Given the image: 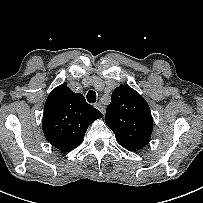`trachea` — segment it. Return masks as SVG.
<instances>
[{"label":"trachea","instance_id":"trachea-1","mask_svg":"<svg viewBox=\"0 0 203 203\" xmlns=\"http://www.w3.org/2000/svg\"><path fill=\"white\" fill-rule=\"evenodd\" d=\"M87 101L89 103H95L96 102V93L92 90H90L88 93H87Z\"/></svg>","mask_w":203,"mask_h":203}]
</instances>
